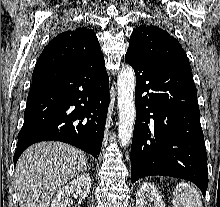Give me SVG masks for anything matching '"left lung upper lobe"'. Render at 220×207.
Instances as JSON below:
<instances>
[{"label": "left lung upper lobe", "mask_w": 220, "mask_h": 207, "mask_svg": "<svg viewBox=\"0 0 220 207\" xmlns=\"http://www.w3.org/2000/svg\"><path fill=\"white\" fill-rule=\"evenodd\" d=\"M127 53L153 67L183 66L190 69L178 40L154 25H141L131 34Z\"/></svg>", "instance_id": "left-lung-upper-lobe-1"}]
</instances>
